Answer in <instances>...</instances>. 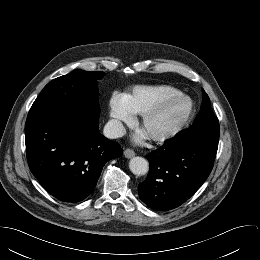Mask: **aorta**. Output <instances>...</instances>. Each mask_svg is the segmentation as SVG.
I'll use <instances>...</instances> for the list:
<instances>
[{
  "mask_svg": "<svg viewBox=\"0 0 260 260\" xmlns=\"http://www.w3.org/2000/svg\"><path fill=\"white\" fill-rule=\"evenodd\" d=\"M129 169L135 175H145L148 172L149 164L143 157H133L129 161Z\"/></svg>",
  "mask_w": 260,
  "mask_h": 260,
  "instance_id": "762f6f07",
  "label": "aorta"
}]
</instances>
